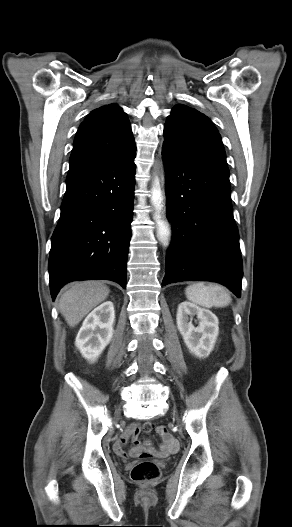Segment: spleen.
I'll return each instance as SVG.
<instances>
[{
	"mask_svg": "<svg viewBox=\"0 0 292 527\" xmlns=\"http://www.w3.org/2000/svg\"><path fill=\"white\" fill-rule=\"evenodd\" d=\"M185 295L189 301L206 308L225 307L231 302V296L224 287L202 282L188 286Z\"/></svg>",
	"mask_w": 292,
	"mask_h": 527,
	"instance_id": "3e777b00",
	"label": "spleen"
}]
</instances>
